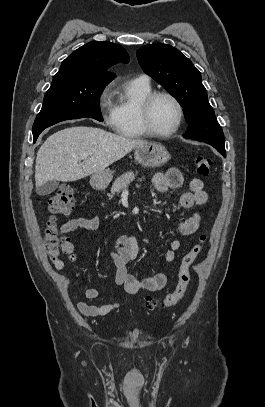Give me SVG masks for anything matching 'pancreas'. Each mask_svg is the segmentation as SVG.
I'll use <instances>...</instances> for the list:
<instances>
[{"mask_svg": "<svg viewBox=\"0 0 265 407\" xmlns=\"http://www.w3.org/2000/svg\"><path fill=\"white\" fill-rule=\"evenodd\" d=\"M135 176L136 174H134V172L129 171L118 177L111 187V193H120L125 187L130 184L131 181L135 179ZM140 181H142V179H140Z\"/></svg>", "mask_w": 265, "mask_h": 407, "instance_id": "obj_1", "label": "pancreas"}]
</instances>
